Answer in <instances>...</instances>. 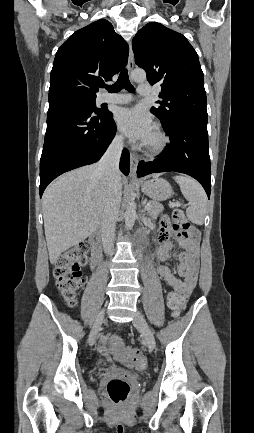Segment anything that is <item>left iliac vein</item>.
I'll return each mask as SVG.
<instances>
[{
	"label": "left iliac vein",
	"mask_w": 254,
	"mask_h": 433,
	"mask_svg": "<svg viewBox=\"0 0 254 433\" xmlns=\"http://www.w3.org/2000/svg\"><path fill=\"white\" fill-rule=\"evenodd\" d=\"M133 325L141 331L148 348L153 350L155 348V338L153 332L139 311H137L134 315Z\"/></svg>",
	"instance_id": "4c4485c4"
}]
</instances>
